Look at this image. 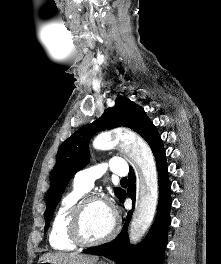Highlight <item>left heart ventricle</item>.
<instances>
[{"label":"left heart ventricle","mask_w":221,"mask_h":264,"mask_svg":"<svg viewBox=\"0 0 221 264\" xmlns=\"http://www.w3.org/2000/svg\"><path fill=\"white\" fill-rule=\"evenodd\" d=\"M113 213L107 204L93 201L90 202L83 213L82 231L90 240L104 237L111 229Z\"/></svg>","instance_id":"obj_1"}]
</instances>
